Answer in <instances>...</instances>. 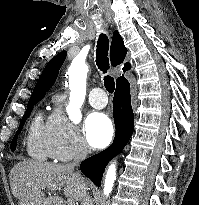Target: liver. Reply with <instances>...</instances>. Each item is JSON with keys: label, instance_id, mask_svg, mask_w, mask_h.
<instances>
[{"label": "liver", "instance_id": "liver-1", "mask_svg": "<svg viewBox=\"0 0 199 205\" xmlns=\"http://www.w3.org/2000/svg\"><path fill=\"white\" fill-rule=\"evenodd\" d=\"M10 186L19 205H63L62 198L55 195L61 190L68 199L81 202L88 190V182L67 166L33 160L12 168Z\"/></svg>", "mask_w": 199, "mask_h": 205}]
</instances>
